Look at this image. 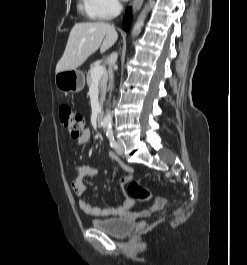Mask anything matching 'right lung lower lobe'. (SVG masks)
Segmentation results:
<instances>
[{
    "label": "right lung lower lobe",
    "instance_id": "obj_1",
    "mask_svg": "<svg viewBox=\"0 0 247 265\" xmlns=\"http://www.w3.org/2000/svg\"><path fill=\"white\" fill-rule=\"evenodd\" d=\"M131 24V14L129 8L126 10V15L124 16V21H123V28L125 31L129 30Z\"/></svg>",
    "mask_w": 247,
    "mask_h": 265
}]
</instances>
